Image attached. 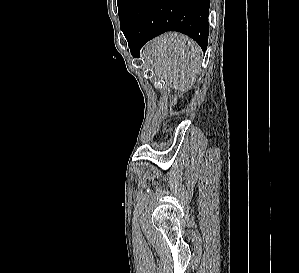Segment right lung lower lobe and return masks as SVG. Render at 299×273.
Listing matches in <instances>:
<instances>
[{
  "label": "right lung lower lobe",
  "mask_w": 299,
  "mask_h": 273,
  "mask_svg": "<svg viewBox=\"0 0 299 273\" xmlns=\"http://www.w3.org/2000/svg\"><path fill=\"white\" fill-rule=\"evenodd\" d=\"M210 0H134L122 27L131 53L166 32L178 31L193 38L206 50Z\"/></svg>",
  "instance_id": "98d812e1"
}]
</instances>
